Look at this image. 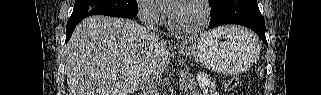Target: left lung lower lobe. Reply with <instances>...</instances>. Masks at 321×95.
Masks as SVG:
<instances>
[{"label":"left lung lower lobe","mask_w":321,"mask_h":95,"mask_svg":"<svg viewBox=\"0 0 321 95\" xmlns=\"http://www.w3.org/2000/svg\"><path fill=\"white\" fill-rule=\"evenodd\" d=\"M210 7V28L223 24L243 25L255 31L268 45L265 37V22L256 0H218Z\"/></svg>","instance_id":"0a47b994"}]
</instances>
